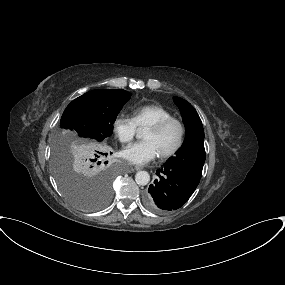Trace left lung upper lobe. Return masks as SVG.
<instances>
[{
  "label": "left lung upper lobe",
  "mask_w": 285,
  "mask_h": 285,
  "mask_svg": "<svg viewBox=\"0 0 285 285\" xmlns=\"http://www.w3.org/2000/svg\"><path fill=\"white\" fill-rule=\"evenodd\" d=\"M179 107L185 125V140L176 156L172 157L166 165L185 170L201 178L205 162L204 130L199 115L193 106L180 97H174Z\"/></svg>",
  "instance_id": "5c2ea615"
}]
</instances>
